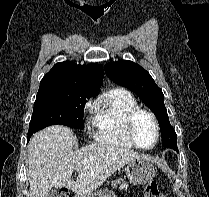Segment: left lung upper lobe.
<instances>
[{
    "label": "left lung upper lobe",
    "mask_w": 209,
    "mask_h": 197,
    "mask_svg": "<svg viewBox=\"0 0 209 197\" xmlns=\"http://www.w3.org/2000/svg\"><path fill=\"white\" fill-rule=\"evenodd\" d=\"M104 70L111 80L136 93L154 112L160 126L163 146L172 149L177 147V136L169 122L164 95L150 74L140 65L128 60L108 63Z\"/></svg>",
    "instance_id": "obj_1"
}]
</instances>
